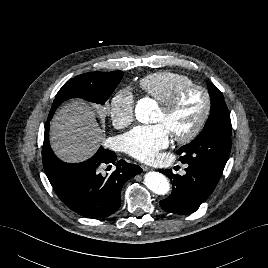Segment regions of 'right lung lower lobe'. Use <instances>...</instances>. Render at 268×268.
Listing matches in <instances>:
<instances>
[{
	"label": "right lung lower lobe",
	"instance_id": "right-lung-lower-lobe-1",
	"mask_svg": "<svg viewBox=\"0 0 268 268\" xmlns=\"http://www.w3.org/2000/svg\"><path fill=\"white\" fill-rule=\"evenodd\" d=\"M116 159L114 152L99 149L85 162L65 163L62 171L65 184L56 194L68 208L84 217L104 218L111 215L120 206L123 184L142 172L139 166L124 160L115 162ZM105 164H115V171L102 175L100 167Z\"/></svg>",
	"mask_w": 268,
	"mask_h": 268
}]
</instances>
